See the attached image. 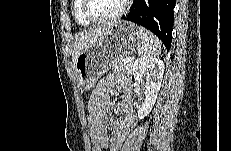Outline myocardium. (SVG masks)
<instances>
[{"label":"myocardium","mask_w":231,"mask_h":151,"mask_svg":"<svg viewBox=\"0 0 231 151\" xmlns=\"http://www.w3.org/2000/svg\"><path fill=\"white\" fill-rule=\"evenodd\" d=\"M130 3H131L130 0H124L122 8L117 13L103 18H96L92 16L89 12V0H82V12L84 17L91 23H96V24L107 23L121 18L127 12Z\"/></svg>","instance_id":"obj_1"}]
</instances>
